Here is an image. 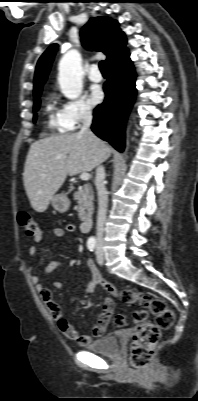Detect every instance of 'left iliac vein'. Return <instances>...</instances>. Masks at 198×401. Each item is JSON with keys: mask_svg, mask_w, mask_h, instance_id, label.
I'll return each mask as SVG.
<instances>
[{"mask_svg": "<svg viewBox=\"0 0 198 401\" xmlns=\"http://www.w3.org/2000/svg\"><path fill=\"white\" fill-rule=\"evenodd\" d=\"M96 255H97L98 264L99 265H103V263H104V253H103L102 247L100 245H98V247H97Z\"/></svg>", "mask_w": 198, "mask_h": 401, "instance_id": "4c4485c4", "label": "left iliac vein"}]
</instances>
